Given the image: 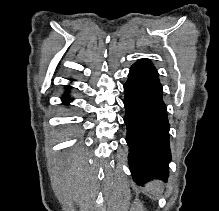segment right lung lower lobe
Returning <instances> with one entry per match:
<instances>
[{
  "instance_id": "98d812e1",
  "label": "right lung lower lobe",
  "mask_w": 219,
  "mask_h": 211,
  "mask_svg": "<svg viewBox=\"0 0 219 211\" xmlns=\"http://www.w3.org/2000/svg\"><path fill=\"white\" fill-rule=\"evenodd\" d=\"M62 101H63L65 104H67V103L71 102V98H70L67 94H65V95L62 97Z\"/></svg>"
}]
</instances>
